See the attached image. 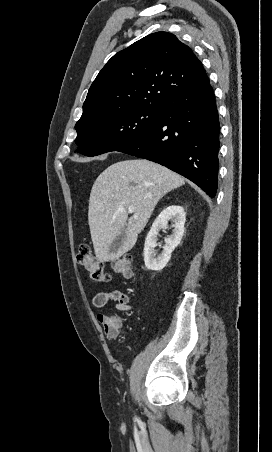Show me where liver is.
<instances>
[{"label":"liver","mask_w":272,"mask_h":452,"mask_svg":"<svg viewBox=\"0 0 272 452\" xmlns=\"http://www.w3.org/2000/svg\"><path fill=\"white\" fill-rule=\"evenodd\" d=\"M184 183L179 174L146 159L124 160L106 168L92 186L88 209L97 260L108 262L130 251L160 199ZM129 206L134 207L130 218ZM125 226L122 247L110 251L115 237Z\"/></svg>","instance_id":"6515ba94"}]
</instances>
